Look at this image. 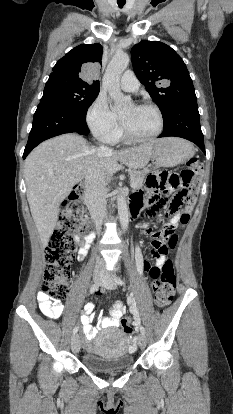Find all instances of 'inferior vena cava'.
I'll return each mask as SVG.
<instances>
[{
	"mask_svg": "<svg viewBox=\"0 0 233 414\" xmlns=\"http://www.w3.org/2000/svg\"><path fill=\"white\" fill-rule=\"evenodd\" d=\"M99 149L103 153L111 152V149L105 145H101ZM84 202L96 227L100 229L106 218V187L105 174L97 168L96 164L85 175Z\"/></svg>",
	"mask_w": 233,
	"mask_h": 414,
	"instance_id": "inferior-vena-cava-1",
	"label": "inferior vena cava"
}]
</instances>
